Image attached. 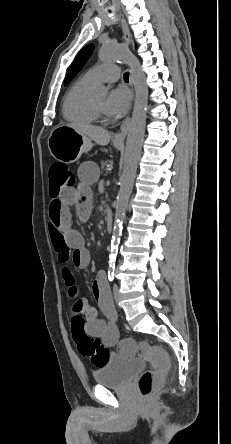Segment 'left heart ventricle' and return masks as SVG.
I'll return each instance as SVG.
<instances>
[{
  "label": "left heart ventricle",
  "mask_w": 231,
  "mask_h": 444,
  "mask_svg": "<svg viewBox=\"0 0 231 444\" xmlns=\"http://www.w3.org/2000/svg\"><path fill=\"white\" fill-rule=\"evenodd\" d=\"M93 103L100 111H102L103 113L105 112L104 111V106H105V98L104 97L94 100Z\"/></svg>",
  "instance_id": "left-heart-ventricle-1"
}]
</instances>
